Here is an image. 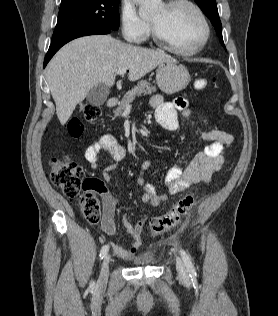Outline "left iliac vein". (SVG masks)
<instances>
[{"mask_svg": "<svg viewBox=\"0 0 278 316\" xmlns=\"http://www.w3.org/2000/svg\"><path fill=\"white\" fill-rule=\"evenodd\" d=\"M176 268L180 276L186 277L187 272L183 261L180 258L176 260Z\"/></svg>", "mask_w": 278, "mask_h": 316, "instance_id": "left-iliac-vein-1", "label": "left iliac vein"}]
</instances>
